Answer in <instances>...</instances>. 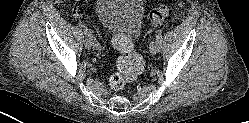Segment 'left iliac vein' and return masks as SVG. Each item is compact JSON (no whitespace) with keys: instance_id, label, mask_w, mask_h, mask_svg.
I'll return each instance as SVG.
<instances>
[{"instance_id":"left-iliac-vein-1","label":"left iliac vein","mask_w":249,"mask_h":123,"mask_svg":"<svg viewBox=\"0 0 249 123\" xmlns=\"http://www.w3.org/2000/svg\"><path fill=\"white\" fill-rule=\"evenodd\" d=\"M149 50L152 54H156L159 52V47L156 40L151 42Z\"/></svg>"}]
</instances>
